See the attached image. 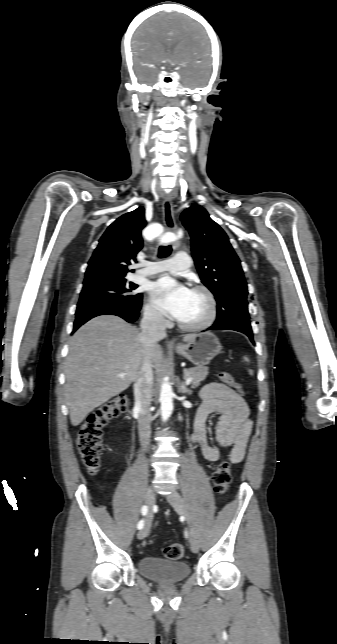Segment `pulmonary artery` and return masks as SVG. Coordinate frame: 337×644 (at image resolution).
Here are the masks:
<instances>
[{"label": "pulmonary artery", "mask_w": 337, "mask_h": 644, "mask_svg": "<svg viewBox=\"0 0 337 644\" xmlns=\"http://www.w3.org/2000/svg\"><path fill=\"white\" fill-rule=\"evenodd\" d=\"M190 266V256L184 252H179L170 259L148 264L146 268L137 271V276H149L164 271L178 273L187 270Z\"/></svg>", "instance_id": "e3ab8cb5"}]
</instances>
